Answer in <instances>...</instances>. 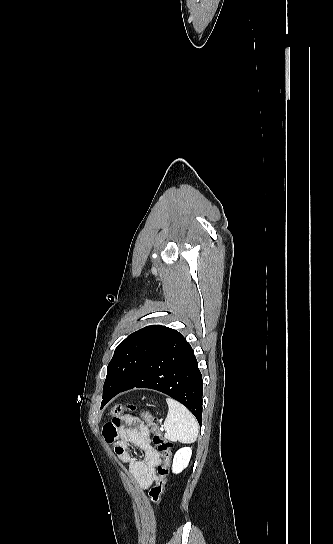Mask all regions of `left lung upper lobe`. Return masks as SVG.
I'll list each match as a JSON object with an SVG mask.
<instances>
[{
  "instance_id": "5c2ea615",
  "label": "left lung upper lobe",
  "mask_w": 333,
  "mask_h": 544,
  "mask_svg": "<svg viewBox=\"0 0 333 544\" xmlns=\"http://www.w3.org/2000/svg\"><path fill=\"white\" fill-rule=\"evenodd\" d=\"M177 333L165 326L152 325L129 335L117 346L108 364L103 392H114L123 388Z\"/></svg>"
}]
</instances>
